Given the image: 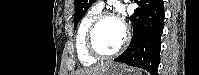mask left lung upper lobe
<instances>
[{
	"label": "left lung upper lobe",
	"instance_id": "obj_1",
	"mask_svg": "<svg viewBox=\"0 0 199 75\" xmlns=\"http://www.w3.org/2000/svg\"><path fill=\"white\" fill-rule=\"evenodd\" d=\"M95 0H75L74 28Z\"/></svg>",
	"mask_w": 199,
	"mask_h": 75
}]
</instances>
